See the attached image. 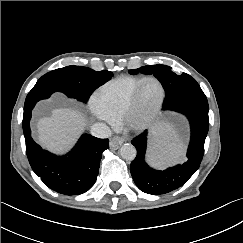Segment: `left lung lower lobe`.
Masks as SVG:
<instances>
[{
  "instance_id": "obj_1",
  "label": "left lung lower lobe",
  "mask_w": 243,
  "mask_h": 243,
  "mask_svg": "<svg viewBox=\"0 0 243 243\" xmlns=\"http://www.w3.org/2000/svg\"><path fill=\"white\" fill-rule=\"evenodd\" d=\"M163 110L184 114L190 123L191 137L186 161L163 171L155 170L145 162L147 131L131 141L137 150L136 158L130 165L131 175L141 191L153 195L165 194L181 187L195 173L203 158L209 129L208 101L201 89L171 100L163 105Z\"/></svg>"
}]
</instances>
